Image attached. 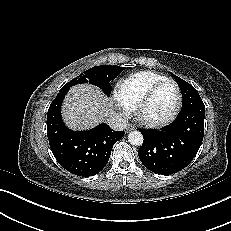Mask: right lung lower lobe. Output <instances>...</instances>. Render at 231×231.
Returning <instances> with one entry per match:
<instances>
[{
  "label": "right lung lower lobe",
  "mask_w": 231,
  "mask_h": 231,
  "mask_svg": "<svg viewBox=\"0 0 231 231\" xmlns=\"http://www.w3.org/2000/svg\"><path fill=\"white\" fill-rule=\"evenodd\" d=\"M69 89L64 85L48 109L47 135L50 148L67 171L77 176H93L106 166L113 145L125 133L114 131L107 124L87 131L74 132L68 129L61 118V104Z\"/></svg>",
  "instance_id": "obj_1"
}]
</instances>
